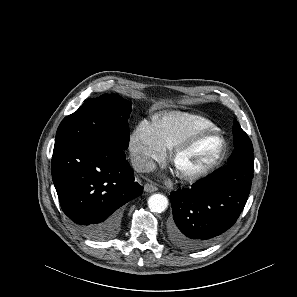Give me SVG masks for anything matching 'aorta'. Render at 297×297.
I'll list each match as a JSON object with an SVG mask.
<instances>
[{
  "instance_id": "762f6f07",
  "label": "aorta",
  "mask_w": 297,
  "mask_h": 297,
  "mask_svg": "<svg viewBox=\"0 0 297 297\" xmlns=\"http://www.w3.org/2000/svg\"><path fill=\"white\" fill-rule=\"evenodd\" d=\"M168 206V199L162 194H153L148 199V207L152 212L162 213Z\"/></svg>"
}]
</instances>
